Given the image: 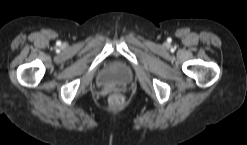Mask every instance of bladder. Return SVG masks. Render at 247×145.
Instances as JSON below:
<instances>
[{
	"mask_svg": "<svg viewBox=\"0 0 247 145\" xmlns=\"http://www.w3.org/2000/svg\"><path fill=\"white\" fill-rule=\"evenodd\" d=\"M131 80V77L129 74L124 73V74H120L119 78L117 81H105L104 83H102V86H108V85H120V86H124L127 85Z\"/></svg>",
	"mask_w": 247,
	"mask_h": 145,
	"instance_id": "obj_1",
	"label": "bladder"
}]
</instances>
